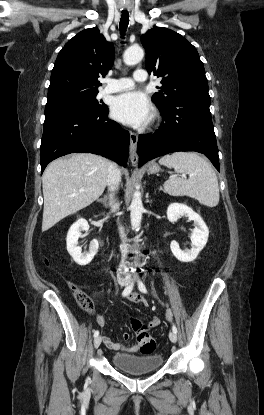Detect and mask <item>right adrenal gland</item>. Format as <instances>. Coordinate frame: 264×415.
<instances>
[{
  "label": "right adrenal gland",
  "instance_id": "2a0ac1e0",
  "mask_svg": "<svg viewBox=\"0 0 264 415\" xmlns=\"http://www.w3.org/2000/svg\"><path fill=\"white\" fill-rule=\"evenodd\" d=\"M98 202H101V203H103L104 204V207H106V208H108V198H107V196H105L104 198H102V199H99L98 200Z\"/></svg>",
  "mask_w": 264,
  "mask_h": 415
}]
</instances>
